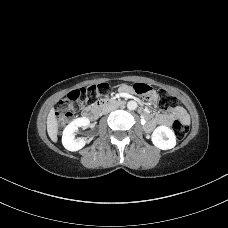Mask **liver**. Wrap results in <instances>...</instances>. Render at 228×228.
<instances>
[{
    "label": "liver",
    "mask_w": 228,
    "mask_h": 228,
    "mask_svg": "<svg viewBox=\"0 0 228 228\" xmlns=\"http://www.w3.org/2000/svg\"><path fill=\"white\" fill-rule=\"evenodd\" d=\"M47 132L53 142H57L58 125L55 110L52 108L47 116Z\"/></svg>",
    "instance_id": "liver-1"
}]
</instances>
